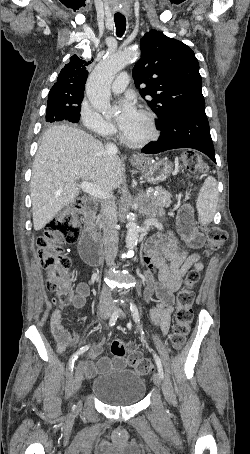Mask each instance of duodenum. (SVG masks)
Listing matches in <instances>:
<instances>
[{
	"label": "duodenum",
	"mask_w": 250,
	"mask_h": 454,
	"mask_svg": "<svg viewBox=\"0 0 250 454\" xmlns=\"http://www.w3.org/2000/svg\"><path fill=\"white\" fill-rule=\"evenodd\" d=\"M95 208L94 205H88L83 212L84 227L80 241V253L83 261L95 266L102 263L101 242L96 233L94 226Z\"/></svg>",
	"instance_id": "obj_1"
}]
</instances>
